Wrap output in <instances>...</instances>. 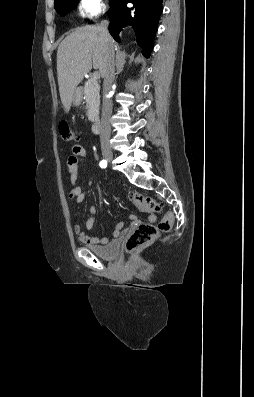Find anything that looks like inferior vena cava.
Listing matches in <instances>:
<instances>
[{
	"label": "inferior vena cava",
	"instance_id": "602c4592",
	"mask_svg": "<svg viewBox=\"0 0 254 397\" xmlns=\"http://www.w3.org/2000/svg\"><path fill=\"white\" fill-rule=\"evenodd\" d=\"M102 37L107 46L106 53V66L104 70V81H103V103H102V116H101V134L100 143L101 148L106 149L110 147V117L112 114V100L109 97V93L112 89V84L115 77V52L114 47L111 43V36L108 32V21H102L101 25Z\"/></svg>",
	"mask_w": 254,
	"mask_h": 397
}]
</instances>
